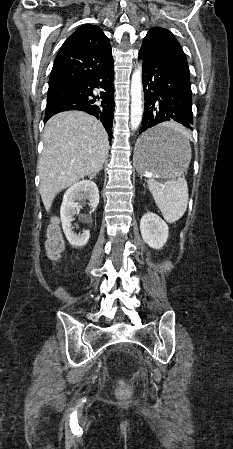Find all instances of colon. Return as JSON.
I'll return each instance as SVG.
<instances>
[{
  "mask_svg": "<svg viewBox=\"0 0 233 449\" xmlns=\"http://www.w3.org/2000/svg\"><path fill=\"white\" fill-rule=\"evenodd\" d=\"M47 249L51 257H57L62 251V240L57 230H52L47 240ZM132 390L127 383H120L117 387V396L120 399H127L131 396Z\"/></svg>",
  "mask_w": 233,
  "mask_h": 449,
  "instance_id": "5ec220e1",
  "label": "colon"
}]
</instances>
